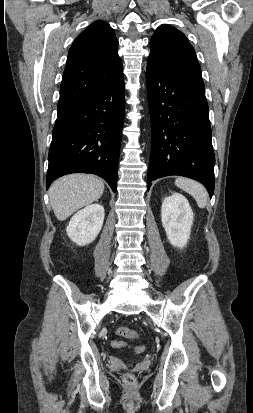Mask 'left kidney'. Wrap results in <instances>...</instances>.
Returning <instances> with one entry per match:
<instances>
[{
	"mask_svg": "<svg viewBox=\"0 0 253 413\" xmlns=\"http://www.w3.org/2000/svg\"><path fill=\"white\" fill-rule=\"evenodd\" d=\"M194 214L188 200L179 193L164 198L161 221L170 243L183 248L190 238Z\"/></svg>",
	"mask_w": 253,
	"mask_h": 413,
	"instance_id": "obj_1",
	"label": "left kidney"
}]
</instances>
